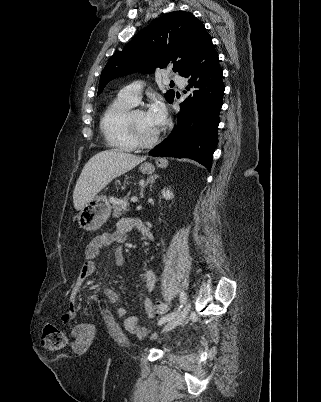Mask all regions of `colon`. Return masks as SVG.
Wrapping results in <instances>:
<instances>
[{
  "label": "colon",
  "instance_id": "obj_1",
  "mask_svg": "<svg viewBox=\"0 0 321 402\" xmlns=\"http://www.w3.org/2000/svg\"><path fill=\"white\" fill-rule=\"evenodd\" d=\"M169 311V304L163 301H157L155 312L157 315H164ZM42 346L45 350L55 352L62 349L66 343L65 333L54 324L44 326L41 336Z\"/></svg>",
  "mask_w": 321,
  "mask_h": 402
}]
</instances>
